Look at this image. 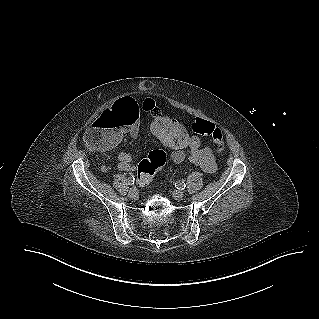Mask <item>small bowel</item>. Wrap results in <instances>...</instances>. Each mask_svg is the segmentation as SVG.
<instances>
[{"label": "small bowel", "mask_w": 319, "mask_h": 319, "mask_svg": "<svg viewBox=\"0 0 319 319\" xmlns=\"http://www.w3.org/2000/svg\"><path fill=\"white\" fill-rule=\"evenodd\" d=\"M140 110L148 113L150 117L162 112L161 106L152 99H146L141 104L133 97L113 101L112 108H106L105 112L97 117H92V124L88 127L85 135L88 146L96 152L103 153L116 148L120 142L129 138L133 142L139 134ZM177 123L183 127L181 123ZM191 135L201 134L197 131L191 132ZM164 146L170 149L171 161L174 164H179L185 160L186 153ZM188 159L208 174H213L217 170V162L212 149L203 147L202 141H200L197 149L189 152ZM118 160L120 170L126 172L135 170L128 153L119 152Z\"/></svg>", "instance_id": "obj_1"}]
</instances>
